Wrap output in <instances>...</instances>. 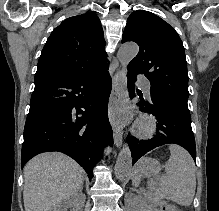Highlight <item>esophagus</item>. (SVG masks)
I'll list each match as a JSON object with an SVG mask.
<instances>
[{"mask_svg":"<svg viewBox=\"0 0 219 211\" xmlns=\"http://www.w3.org/2000/svg\"><path fill=\"white\" fill-rule=\"evenodd\" d=\"M122 74V70H119L113 76L108 110L109 121L113 130L114 142L118 148L121 147L123 141V124L118 116L120 93L122 90Z\"/></svg>","mask_w":219,"mask_h":211,"instance_id":"34e87169","label":"esophagus"}]
</instances>
